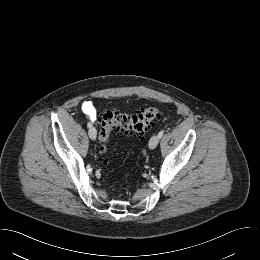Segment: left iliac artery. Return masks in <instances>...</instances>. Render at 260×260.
Segmentation results:
<instances>
[{"label": "left iliac artery", "mask_w": 260, "mask_h": 260, "mask_svg": "<svg viewBox=\"0 0 260 260\" xmlns=\"http://www.w3.org/2000/svg\"><path fill=\"white\" fill-rule=\"evenodd\" d=\"M164 130H161L159 133H158V137H159V139L164 135Z\"/></svg>", "instance_id": "left-iliac-artery-1"}]
</instances>
